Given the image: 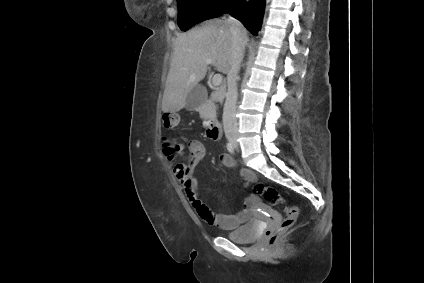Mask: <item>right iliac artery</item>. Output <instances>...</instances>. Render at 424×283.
Returning <instances> with one entry per match:
<instances>
[{
	"label": "right iliac artery",
	"mask_w": 424,
	"mask_h": 283,
	"mask_svg": "<svg viewBox=\"0 0 424 283\" xmlns=\"http://www.w3.org/2000/svg\"><path fill=\"white\" fill-rule=\"evenodd\" d=\"M227 150H228L230 153H233V152H234V147H233V145H232L231 143H227Z\"/></svg>",
	"instance_id": "1"
}]
</instances>
